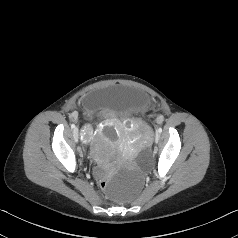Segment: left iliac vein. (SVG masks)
<instances>
[{
  "instance_id": "4c4485c4",
  "label": "left iliac vein",
  "mask_w": 238,
  "mask_h": 238,
  "mask_svg": "<svg viewBox=\"0 0 238 238\" xmlns=\"http://www.w3.org/2000/svg\"><path fill=\"white\" fill-rule=\"evenodd\" d=\"M160 139V133L156 132L155 134V141L157 142Z\"/></svg>"
}]
</instances>
